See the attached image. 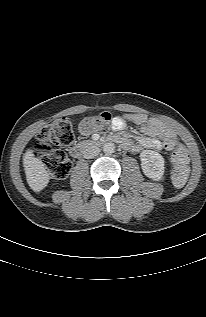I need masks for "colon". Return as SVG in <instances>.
I'll list each match as a JSON object with an SVG mask.
<instances>
[{
    "label": "colon",
    "instance_id": "colon-1",
    "mask_svg": "<svg viewBox=\"0 0 206 317\" xmlns=\"http://www.w3.org/2000/svg\"><path fill=\"white\" fill-rule=\"evenodd\" d=\"M112 120L109 112H101L82 120L81 132L91 134L105 130ZM74 141L73 125L69 118H60L42 128L33 145L32 152L46 166L51 177L64 179L71 170V162L65 152L57 147L69 146ZM165 147L172 149L173 170L172 180L175 185L185 183L189 174V154L186 148L175 139L166 142Z\"/></svg>",
    "mask_w": 206,
    "mask_h": 317
}]
</instances>
